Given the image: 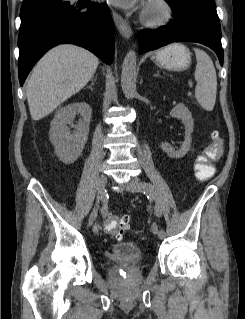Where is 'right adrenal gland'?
Here are the masks:
<instances>
[{
  "label": "right adrenal gland",
  "instance_id": "1",
  "mask_svg": "<svg viewBox=\"0 0 245 319\" xmlns=\"http://www.w3.org/2000/svg\"><path fill=\"white\" fill-rule=\"evenodd\" d=\"M94 77L91 79V84L88 86L89 89L93 90V85H94Z\"/></svg>",
  "mask_w": 245,
  "mask_h": 319
}]
</instances>
